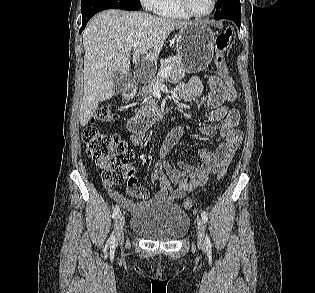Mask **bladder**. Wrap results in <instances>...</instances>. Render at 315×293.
Listing matches in <instances>:
<instances>
[{"label":"bladder","mask_w":315,"mask_h":293,"mask_svg":"<svg viewBox=\"0 0 315 293\" xmlns=\"http://www.w3.org/2000/svg\"><path fill=\"white\" fill-rule=\"evenodd\" d=\"M191 224L187 212L176 204L148 203L133 215L130 227L136 234L153 240L175 241L184 237Z\"/></svg>","instance_id":"31cf9c89"}]
</instances>
